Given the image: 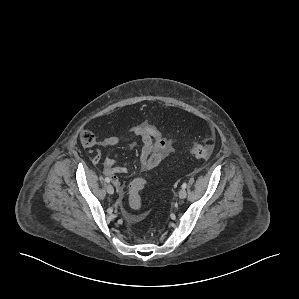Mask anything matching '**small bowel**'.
Returning <instances> with one entry per match:
<instances>
[{"instance_id": "c3829d8e", "label": "small bowel", "mask_w": 299, "mask_h": 299, "mask_svg": "<svg viewBox=\"0 0 299 299\" xmlns=\"http://www.w3.org/2000/svg\"><path fill=\"white\" fill-rule=\"evenodd\" d=\"M128 134L131 137H138L142 141L140 163L144 171L155 168L173 150V142L167 140L157 127L148 122L132 126L128 130ZM121 140L122 138L118 136H107L101 144L104 147H112L118 145ZM92 162L94 164L101 163L104 173L111 177L112 182L117 187H120V181L116 175L127 173L126 167L116 165V162L111 158H104L100 151H97Z\"/></svg>"}]
</instances>
